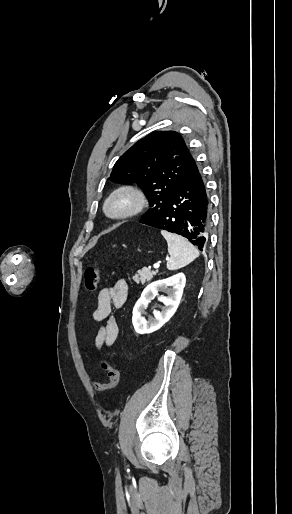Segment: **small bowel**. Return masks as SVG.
Masks as SVG:
<instances>
[{
	"mask_svg": "<svg viewBox=\"0 0 292 514\" xmlns=\"http://www.w3.org/2000/svg\"><path fill=\"white\" fill-rule=\"evenodd\" d=\"M127 293L128 285L124 279H119L114 284L100 290L97 307L93 312V319L96 322L105 321V324L98 328L95 337L96 348L101 349L105 346H111L116 341L119 326L112 312L124 305Z\"/></svg>",
	"mask_w": 292,
	"mask_h": 514,
	"instance_id": "c3829d8e",
	"label": "small bowel"
}]
</instances>
